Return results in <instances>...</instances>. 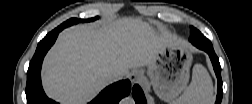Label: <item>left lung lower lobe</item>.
Here are the masks:
<instances>
[{
  "mask_svg": "<svg viewBox=\"0 0 252 104\" xmlns=\"http://www.w3.org/2000/svg\"><path fill=\"white\" fill-rule=\"evenodd\" d=\"M189 41L197 48L207 52L211 59V62H212V65H213V68H214V71L218 80V93H217L215 104H220L222 100V94H223L222 79H221V66L219 63V59L214 52V49H209L205 45L211 42L199 31L195 34L194 37L190 36ZM132 95L136 104H146L144 93L139 85L135 84L133 86Z\"/></svg>",
  "mask_w": 252,
  "mask_h": 104,
  "instance_id": "0a47b994",
  "label": "left lung lower lobe"
}]
</instances>
